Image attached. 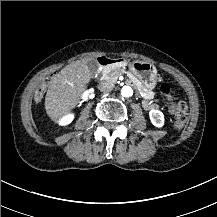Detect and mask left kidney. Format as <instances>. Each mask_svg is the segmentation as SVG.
Returning <instances> with one entry per match:
<instances>
[{"mask_svg": "<svg viewBox=\"0 0 217 217\" xmlns=\"http://www.w3.org/2000/svg\"><path fill=\"white\" fill-rule=\"evenodd\" d=\"M149 119L151 124L156 128H162L165 123V117L162 111L157 109L149 110Z\"/></svg>", "mask_w": 217, "mask_h": 217, "instance_id": "5707ae66", "label": "left kidney"}]
</instances>
